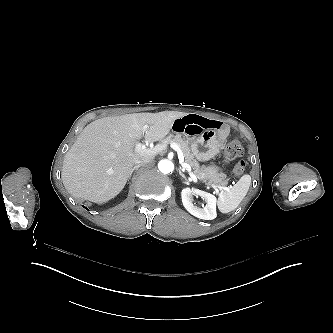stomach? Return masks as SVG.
<instances>
[{"label": "stomach", "mask_w": 333, "mask_h": 333, "mask_svg": "<svg viewBox=\"0 0 333 333\" xmlns=\"http://www.w3.org/2000/svg\"><path fill=\"white\" fill-rule=\"evenodd\" d=\"M192 154L201 162L214 158L223 148V143L217 137L214 129H205L200 135L192 137Z\"/></svg>", "instance_id": "obj_1"}]
</instances>
